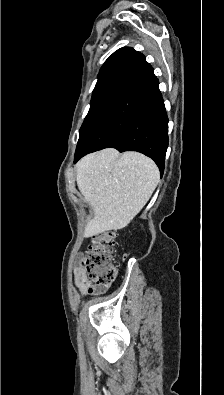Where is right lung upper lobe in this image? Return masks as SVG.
Segmentation results:
<instances>
[{"instance_id": "obj_1", "label": "right lung upper lobe", "mask_w": 224, "mask_h": 395, "mask_svg": "<svg viewBox=\"0 0 224 395\" xmlns=\"http://www.w3.org/2000/svg\"><path fill=\"white\" fill-rule=\"evenodd\" d=\"M136 53L137 51L130 47H123L118 49L103 64L98 74V78L113 72H119L122 66Z\"/></svg>"}]
</instances>
